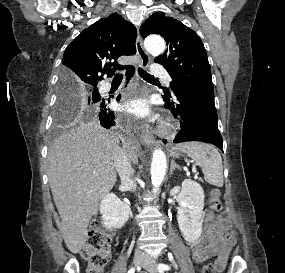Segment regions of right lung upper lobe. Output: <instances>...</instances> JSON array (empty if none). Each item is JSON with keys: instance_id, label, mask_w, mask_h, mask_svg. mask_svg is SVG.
<instances>
[{"instance_id": "cb5924a9", "label": "right lung upper lobe", "mask_w": 285, "mask_h": 273, "mask_svg": "<svg viewBox=\"0 0 285 273\" xmlns=\"http://www.w3.org/2000/svg\"><path fill=\"white\" fill-rule=\"evenodd\" d=\"M135 39L136 28L118 14L102 18L84 29L65 49L61 74L79 84L97 85L104 74H114L108 67H129L119 65L116 60L136 53ZM109 60L115 61L107 63Z\"/></svg>"}]
</instances>
